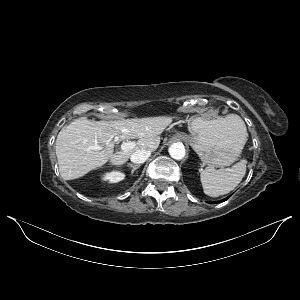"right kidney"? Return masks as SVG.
<instances>
[{
  "instance_id": "ca27d5eb",
  "label": "right kidney",
  "mask_w": 300,
  "mask_h": 300,
  "mask_svg": "<svg viewBox=\"0 0 300 300\" xmlns=\"http://www.w3.org/2000/svg\"><path fill=\"white\" fill-rule=\"evenodd\" d=\"M124 177L125 175L122 172L112 171L110 173H106L105 175H103L102 180L109 181L110 183H117L123 180Z\"/></svg>"
}]
</instances>
